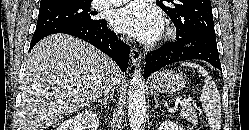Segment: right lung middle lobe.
Returning <instances> with one entry per match:
<instances>
[{
  "label": "right lung middle lobe",
  "instance_id": "obj_1",
  "mask_svg": "<svg viewBox=\"0 0 249 130\" xmlns=\"http://www.w3.org/2000/svg\"><path fill=\"white\" fill-rule=\"evenodd\" d=\"M90 6L91 1L84 0L65 6L40 8L36 29L67 23H97L99 20L92 18L95 14L90 11Z\"/></svg>",
  "mask_w": 249,
  "mask_h": 130
}]
</instances>
